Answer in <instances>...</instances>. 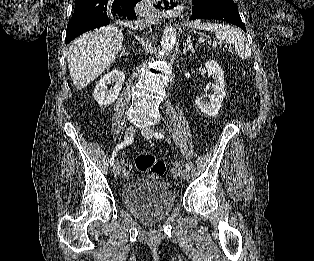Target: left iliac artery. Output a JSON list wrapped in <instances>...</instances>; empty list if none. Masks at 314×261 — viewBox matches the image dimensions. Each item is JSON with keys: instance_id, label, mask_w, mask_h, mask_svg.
Masks as SVG:
<instances>
[{"instance_id": "1", "label": "left iliac artery", "mask_w": 314, "mask_h": 261, "mask_svg": "<svg viewBox=\"0 0 314 261\" xmlns=\"http://www.w3.org/2000/svg\"><path fill=\"white\" fill-rule=\"evenodd\" d=\"M154 136H155L157 139H164V135H162V134L159 133V132H155V133H154ZM186 169H187L188 171L191 170V166H190L188 163H186Z\"/></svg>"}]
</instances>
